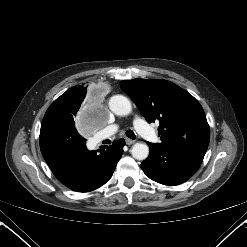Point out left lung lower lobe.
<instances>
[{
	"label": "left lung lower lobe",
	"instance_id": "1",
	"mask_svg": "<svg viewBox=\"0 0 247 247\" xmlns=\"http://www.w3.org/2000/svg\"><path fill=\"white\" fill-rule=\"evenodd\" d=\"M150 154L141 163L144 173L164 185H178L188 180L199 168L208 144L183 142L172 146L149 143Z\"/></svg>",
	"mask_w": 247,
	"mask_h": 247
}]
</instances>
